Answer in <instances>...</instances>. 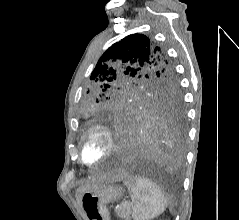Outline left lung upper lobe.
<instances>
[{"mask_svg": "<svg viewBox=\"0 0 239 220\" xmlns=\"http://www.w3.org/2000/svg\"><path fill=\"white\" fill-rule=\"evenodd\" d=\"M81 103V115L97 120L110 110L184 112L173 63L143 34L113 44L100 57Z\"/></svg>", "mask_w": 239, "mask_h": 220, "instance_id": "obj_1", "label": "left lung upper lobe"}]
</instances>
